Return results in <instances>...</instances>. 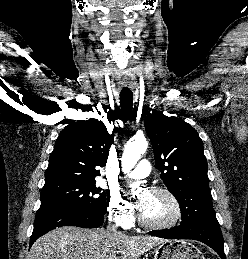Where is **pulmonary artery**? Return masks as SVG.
Here are the masks:
<instances>
[{
  "mask_svg": "<svg viewBox=\"0 0 248 259\" xmlns=\"http://www.w3.org/2000/svg\"><path fill=\"white\" fill-rule=\"evenodd\" d=\"M150 171H151V165L149 161L141 160L138 166L134 170L129 171L126 174V177L132 178V179H142L147 177Z\"/></svg>",
  "mask_w": 248,
  "mask_h": 259,
  "instance_id": "pulmonary-artery-1",
  "label": "pulmonary artery"
}]
</instances>
